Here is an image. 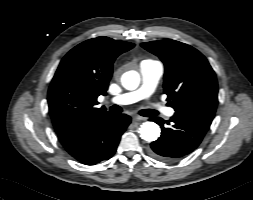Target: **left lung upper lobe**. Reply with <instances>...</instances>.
<instances>
[{"label":"left lung upper lobe","instance_id":"obj_1","mask_svg":"<svg viewBox=\"0 0 253 200\" xmlns=\"http://www.w3.org/2000/svg\"><path fill=\"white\" fill-rule=\"evenodd\" d=\"M141 46L163 61L164 92L176 113L211 124L218 103V85L207 59L195 48L175 40L151 41Z\"/></svg>","mask_w":253,"mask_h":200}]
</instances>
